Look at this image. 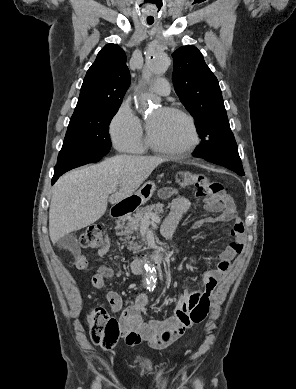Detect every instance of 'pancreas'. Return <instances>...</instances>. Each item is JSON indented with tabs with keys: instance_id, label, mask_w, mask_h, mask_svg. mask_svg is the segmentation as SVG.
Listing matches in <instances>:
<instances>
[{
	"instance_id": "1",
	"label": "pancreas",
	"mask_w": 296,
	"mask_h": 389,
	"mask_svg": "<svg viewBox=\"0 0 296 389\" xmlns=\"http://www.w3.org/2000/svg\"><path fill=\"white\" fill-rule=\"evenodd\" d=\"M163 212H164V204L161 203L140 208L136 210V213L133 216L127 215L125 217L120 218V220L117 221V226H116L117 234L119 236H126V239L129 240L131 235L134 232H137L139 230L141 222L146 217V215L159 216ZM125 222L127 223L125 224Z\"/></svg>"
}]
</instances>
